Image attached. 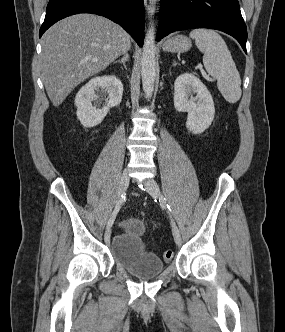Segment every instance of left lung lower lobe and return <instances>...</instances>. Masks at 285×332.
<instances>
[{
  "instance_id": "obj_1",
  "label": "left lung lower lobe",
  "mask_w": 285,
  "mask_h": 332,
  "mask_svg": "<svg viewBox=\"0 0 285 332\" xmlns=\"http://www.w3.org/2000/svg\"><path fill=\"white\" fill-rule=\"evenodd\" d=\"M195 28L223 31L247 53V28L238 0H161L157 41L171 32Z\"/></svg>"
}]
</instances>
